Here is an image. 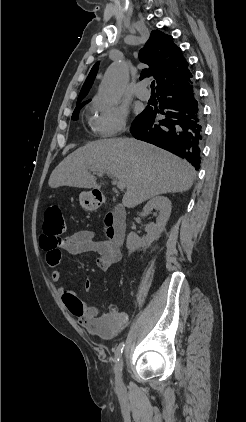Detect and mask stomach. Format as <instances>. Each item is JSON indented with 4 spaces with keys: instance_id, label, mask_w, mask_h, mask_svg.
<instances>
[{
    "instance_id": "1",
    "label": "stomach",
    "mask_w": 246,
    "mask_h": 422,
    "mask_svg": "<svg viewBox=\"0 0 246 422\" xmlns=\"http://www.w3.org/2000/svg\"><path fill=\"white\" fill-rule=\"evenodd\" d=\"M79 200L80 205L86 210H93L96 207V200L92 192H82Z\"/></svg>"
}]
</instances>
